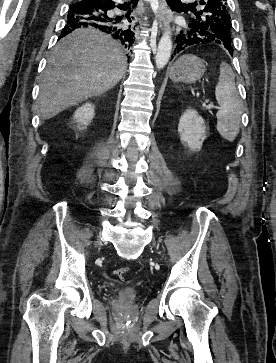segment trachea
I'll list each match as a JSON object with an SVG mask.
<instances>
[{"label":"trachea","mask_w":276,"mask_h":363,"mask_svg":"<svg viewBox=\"0 0 276 363\" xmlns=\"http://www.w3.org/2000/svg\"><path fill=\"white\" fill-rule=\"evenodd\" d=\"M138 0H133V4L136 5ZM169 5H181V6H188L190 4H183L180 0H167Z\"/></svg>","instance_id":"obj_1"}]
</instances>
